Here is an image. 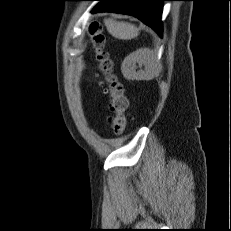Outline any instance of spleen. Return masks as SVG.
<instances>
[{
	"instance_id": "3e777b00",
	"label": "spleen",
	"mask_w": 231,
	"mask_h": 231,
	"mask_svg": "<svg viewBox=\"0 0 231 231\" xmlns=\"http://www.w3.org/2000/svg\"><path fill=\"white\" fill-rule=\"evenodd\" d=\"M104 23L108 32L117 39L130 40L139 34L137 27L127 22L105 19Z\"/></svg>"
}]
</instances>
